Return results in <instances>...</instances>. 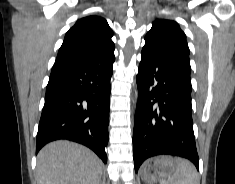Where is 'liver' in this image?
<instances>
[{
    "instance_id": "6515ba94",
    "label": "liver",
    "mask_w": 235,
    "mask_h": 184,
    "mask_svg": "<svg viewBox=\"0 0 235 184\" xmlns=\"http://www.w3.org/2000/svg\"><path fill=\"white\" fill-rule=\"evenodd\" d=\"M103 164L88 148L58 140L37 156V184H99Z\"/></svg>"
}]
</instances>
